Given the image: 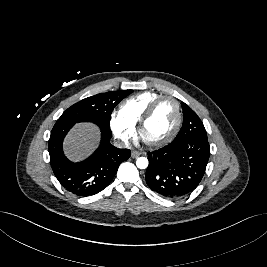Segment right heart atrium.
<instances>
[{"label": "right heart atrium", "mask_w": 267, "mask_h": 267, "mask_svg": "<svg viewBox=\"0 0 267 267\" xmlns=\"http://www.w3.org/2000/svg\"><path fill=\"white\" fill-rule=\"evenodd\" d=\"M110 125L114 135L124 143L128 142L134 134V127L123 118L120 112L111 114Z\"/></svg>", "instance_id": "1"}]
</instances>
